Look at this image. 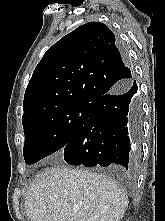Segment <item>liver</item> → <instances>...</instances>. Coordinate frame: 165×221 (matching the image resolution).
<instances>
[{
    "mask_svg": "<svg viewBox=\"0 0 165 221\" xmlns=\"http://www.w3.org/2000/svg\"><path fill=\"white\" fill-rule=\"evenodd\" d=\"M127 206L109 178L61 166L41 172L25 198L30 221H120Z\"/></svg>",
    "mask_w": 165,
    "mask_h": 221,
    "instance_id": "obj_1",
    "label": "liver"
}]
</instances>
